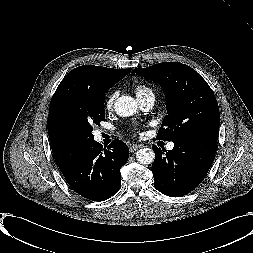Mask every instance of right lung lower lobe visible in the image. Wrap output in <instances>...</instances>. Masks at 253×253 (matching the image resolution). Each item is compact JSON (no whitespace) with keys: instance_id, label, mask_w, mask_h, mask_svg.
<instances>
[{"instance_id":"right-lung-lower-lobe-1","label":"right lung lower lobe","mask_w":253,"mask_h":253,"mask_svg":"<svg viewBox=\"0 0 253 253\" xmlns=\"http://www.w3.org/2000/svg\"><path fill=\"white\" fill-rule=\"evenodd\" d=\"M93 141L85 147L73 165L63 173L70 187L81 196L103 201L120 189V168L129 157L128 146L121 140L113 141L108 150Z\"/></svg>"}]
</instances>
